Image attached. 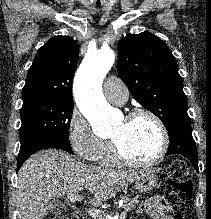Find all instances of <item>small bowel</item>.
I'll return each instance as SVG.
<instances>
[{
	"label": "small bowel",
	"instance_id": "c3829d8e",
	"mask_svg": "<svg viewBox=\"0 0 211 219\" xmlns=\"http://www.w3.org/2000/svg\"><path fill=\"white\" fill-rule=\"evenodd\" d=\"M141 211L145 212L152 219H173L171 208L163 197L153 196L149 198L141 207ZM139 212L135 213L137 217Z\"/></svg>",
	"mask_w": 211,
	"mask_h": 219
}]
</instances>
